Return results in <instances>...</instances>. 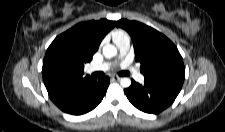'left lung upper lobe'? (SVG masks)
I'll list each match as a JSON object with an SVG mask.
<instances>
[{
  "label": "left lung upper lobe",
  "instance_id": "obj_1",
  "mask_svg": "<svg viewBox=\"0 0 225 132\" xmlns=\"http://www.w3.org/2000/svg\"><path fill=\"white\" fill-rule=\"evenodd\" d=\"M116 26L130 34L135 60L141 63L145 82L182 87L185 79L183 59L166 36L137 21L121 19Z\"/></svg>",
  "mask_w": 225,
  "mask_h": 132
}]
</instances>
